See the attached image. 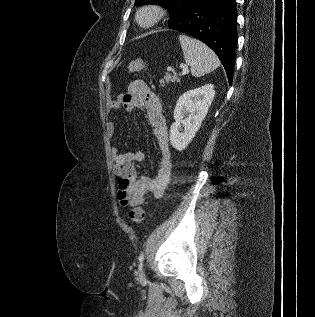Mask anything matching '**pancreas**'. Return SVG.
Masks as SVG:
<instances>
[{"mask_svg":"<svg viewBox=\"0 0 315 317\" xmlns=\"http://www.w3.org/2000/svg\"><path fill=\"white\" fill-rule=\"evenodd\" d=\"M164 81H166V83H170V82H175V81H179V78L176 76H172L169 73H166V75L164 76L163 79H161V84L164 85Z\"/></svg>","mask_w":315,"mask_h":317,"instance_id":"1","label":"pancreas"}]
</instances>
